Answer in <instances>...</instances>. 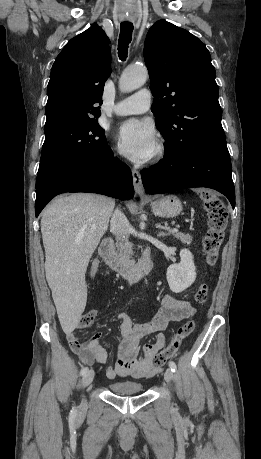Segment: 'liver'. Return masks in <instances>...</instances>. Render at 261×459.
Here are the masks:
<instances>
[{
  "label": "liver",
  "mask_w": 261,
  "mask_h": 459,
  "mask_svg": "<svg viewBox=\"0 0 261 459\" xmlns=\"http://www.w3.org/2000/svg\"><path fill=\"white\" fill-rule=\"evenodd\" d=\"M114 206L112 198L75 193L56 198L42 213L46 280L66 334L78 326L85 309V273Z\"/></svg>",
  "instance_id": "1"
}]
</instances>
